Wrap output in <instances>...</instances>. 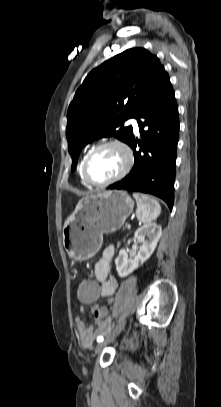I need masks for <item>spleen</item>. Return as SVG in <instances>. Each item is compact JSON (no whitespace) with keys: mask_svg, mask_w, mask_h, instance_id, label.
<instances>
[{"mask_svg":"<svg viewBox=\"0 0 221 407\" xmlns=\"http://www.w3.org/2000/svg\"><path fill=\"white\" fill-rule=\"evenodd\" d=\"M133 197L137 203L136 216L140 222L147 224L158 218L161 206L154 198L142 193H133Z\"/></svg>","mask_w":221,"mask_h":407,"instance_id":"3e777b00","label":"spleen"}]
</instances>
